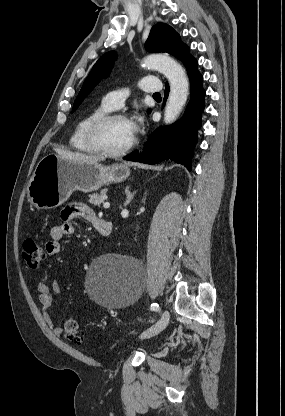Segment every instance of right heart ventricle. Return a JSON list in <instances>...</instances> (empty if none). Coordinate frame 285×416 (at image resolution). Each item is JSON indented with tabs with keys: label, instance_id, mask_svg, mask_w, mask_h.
<instances>
[{
	"label": "right heart ventricle",
	"instance_id": "e07e8e85",
	"mask_svg": "<svg viewBox=\"0 0 285 416\" xmlns=\"http://www.w3.org/2000/svg\"><path fill=\"white\" fill-rule=\"evenodd\" d=\"M109 110V108L101 103L100 105L92 108L78 120L70 137V144L75 150L85 154L93 153L86 141L87 127L92 120Z\"/></svg>",
	"mask_w": 285,
	"mask_h": 416
}]
</instances>
